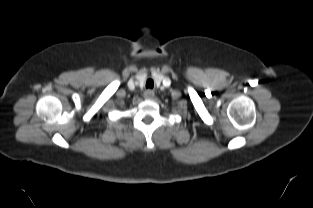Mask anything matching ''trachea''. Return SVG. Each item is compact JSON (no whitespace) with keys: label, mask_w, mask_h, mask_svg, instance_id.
<instances>
[{"label":"trachea","mask_w":313,"mask_h":208,"mask_svg":"<svg viewBox=\"0 0 313 208\" xmlns=\"http://www.w3.org/2000/svg\"><path fill=\"white\" fill-rule=\"evenodd\" d=\"M154 87V82L152 79H148L146 82V88L152 89Z\"/></svg>","instance_id":"obj_1"}]
</instances>
